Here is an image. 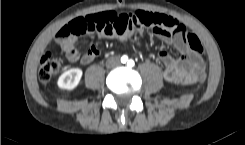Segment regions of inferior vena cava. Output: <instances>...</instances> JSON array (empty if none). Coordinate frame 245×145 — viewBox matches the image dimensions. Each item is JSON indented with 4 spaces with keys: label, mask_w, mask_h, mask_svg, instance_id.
Masks as SVG:
<instances>
[{
    "label": "inferior vena cava",
    "mask_w": 245,
    "mask_h": 145,
    "mask_svg": "<svg viewBox=\"0 0 245 145\" xmlns=\"http://www.w3.org/2000/svg\"><path fill=\"white\" fill-rule=\"evenodd\" d=\"M120 64V60L118 57H110L107 62H106V65L107 67L109 68H113V67H116Z\"/></svg>",
    "instance_id": "1"
}]
</instances>
